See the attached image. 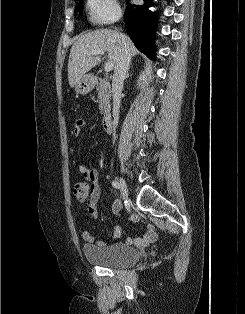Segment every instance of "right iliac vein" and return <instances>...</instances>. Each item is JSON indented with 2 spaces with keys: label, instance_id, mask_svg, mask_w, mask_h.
<instances>
[{
  "label": "right iliac vein",
  "instance_id": "63e3f726",
  "mask_svg": "<svg viewBox=\"0 0 245 314\" xmlns=\"http://www.w3.org/2000/svg\"><path fill=\"white\" fill-rule=\"evenodd\" d=\"M119 185H120V190H121V195H122V198L124 200H127L128 199V189H127V185H126V182L123 178H119Z\"/></svg>",
  "mask_w": 245,
  "mask_h": 314
}]
</instances>
